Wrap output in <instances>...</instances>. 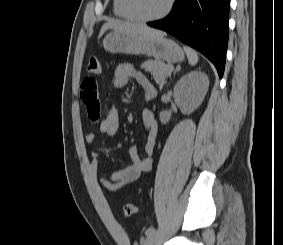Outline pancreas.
I'll use <instances>...</instances> for the list:
<instances>
[{
	"instance_id": "1",
	"label": "pancreas",
	"mask_w": 283,
	"mask_h": 245,
	"mask_svg": "<svg viewBox=\"0 0 283 245\" xmlns=\"http://www.w3.org/2000/svg\"><path fill=\"white\" fill-rule=\"evenodd\" d=\"M141 68L151 72L156 83L162 87L166 83V77L172 67L159 60H147L141 65Z\"/></svg>"
}]
</instances>
